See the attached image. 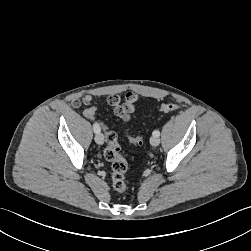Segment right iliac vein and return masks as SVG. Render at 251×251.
Returning <instances> with one entry per match:
<instances>
[{"label": "right iliac vein", "mask_w": 251, "mask_h": 251, "mask_svg": "<svg viewBox=\"0 0 251 251\" xmlns=\"http://www.w3.org/2000/svg\"><path fill=\"white\" fill-rule=\"evenodd\" d=\"M95 141H96L97 144L102 145L104 143V136H103V134L100 133V132L97 133L95 135Z\"/></svg>", "instance_id": "1"}]
</instances>
